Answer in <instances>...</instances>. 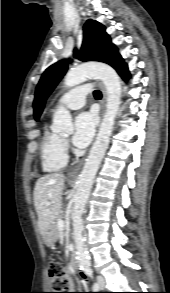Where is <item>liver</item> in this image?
I'll use <instances>...</instances> for the list:
<instances>
[{
	"label": "liver",
	"instance_id": "1",
	"mask_svg": "<svg viewBox=\"0 0 170 293\" xmlns=\"http://www.w3.org/2000/svg\"><path fill=\"white\" fill-rule=\"evenodd\" d=\"M64 175L47 174L39 178L34 188V205L38 215V227L43 235L50 228L62 208Z\"/></svg>",
	"mask_w": 170,
	"mask_h": 293
}]
</instances>
